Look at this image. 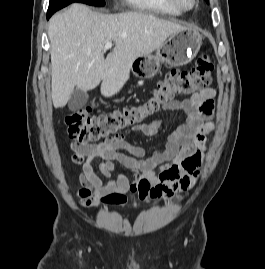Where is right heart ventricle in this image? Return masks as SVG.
Segmentation results:
<instances>
[{"instance_id": "e07e8e85", "label": "right heart ventricle", "mask_w": 265, "mask_h": 269, "mask_svg": "<svg viewBox=\"0 0 265 269\" xmlns=\"http://www.w3.org/2000/svg\"><path fill=\"white\" fill-rule=\"evenodd\" d=\"M131 8L149 13L180 15L181 11L171 6L166 0H124Z\"/></svg>"}]
</instances>
